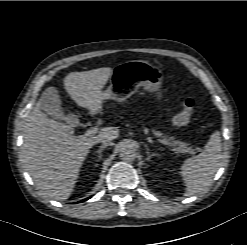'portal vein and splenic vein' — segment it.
I'll list each match as a JSON object with an SVG mask.
<instances>
[{
    "mask_svg": "<svg viewBox=\"0 0 247 245\" xmlns=\"http://www.w3.org/2000/svg\"><path fill=\"white\" fill-rule=\"evenodd\" d=\"M98 132V128L97 127H92L90 129H88L85 133V136H93ZM157 141L159 143H161L162 145H170L168 142H166L165 140L162 139H157ZM196 150L200 151V148H196Z\"/></svg>",
    "mask_w": 247,
    "mask_h": 245,
    "instance_id": "portal-vein-and-splenic-vein-1",
    "label": "portal vein and splenic vein"
}]
</instances>
